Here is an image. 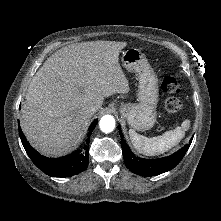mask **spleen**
Masks as SVG:
<instances>
[{
  "label": "spleen",
  "mask_w": 221,
  "mask_h": 221,
  "mask_svg": "<svg viewBox=\"0 0 221 221\" xmlns=\"http://www.w3.org/2000/svg\"><path fill=\"white\" fill-rule=\"evenodd\" d=\"M190 121L185 120L181 126L174 130L165 132L163 135L148 138L138 134L135 130H129V136L134 148L139 152L148 156L162 154L175 145H177L184 137L185 131L189 129Z\"/></svg>",
  "instance_id": "spleen-1"
}]
</instances>
